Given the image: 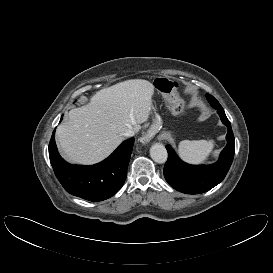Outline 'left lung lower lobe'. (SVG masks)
I'll use <instances>...</instances> for the list:
<instances>
[{"mask_svg":"<svg viewBox=\"0 0 273 273\" xmlns=\"http://www.w3.org/2000/svg\"><path fill=\"white\" fill-rule=\"evenodd\" d=\"M221 121L228 127L227 145L219 160L208 166L189 165L181 161L170 146H166L168 160L164 166V177L174 189L187 194H199L218 185L226 176L234 157V136L231 124L222 109H216Z\"/></svg>","mask_w":273,"mask_h":273,"instance_id":"left-lung-lower-lobe-1","label":"left lung lower lobe"}]
</instances>
